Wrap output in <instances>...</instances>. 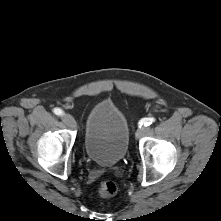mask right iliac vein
Instances as JSON below:
<instances>
[{
    "label": "right iliac vein",
    "instance_id": "63e3f726",
    "mask_svg": "<svg viewBox=\"0 0 221 221\" xmlns=\"http://www.w3.org/2000/svg\"><path fill=\"white\" fill-rule=\"evenodd\" d=\"M62 120L68 127L72 128V129L76 128V126H77L75 119L69 114H64L62 116Z\"/></svg>",
    "mask_w": 221,
    "mask_h": 221
}]
</instances>
